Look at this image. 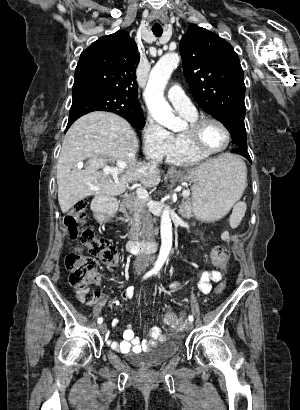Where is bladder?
Here are the masks:
<instances>
[{
	"label": "bladder",
	"mask_w": 300,
	"mask_h": 410,
	"mask_svg": "<svg viewBox=\"0 0 300 410\" xmlns=\"http://www.w3.org/2000/svg\"><path fill=\"white\" fill-rule=\"evenodd\" d=\"M179 347L175 342L166 341L164 343H156L153 348L148 349L143 354H128L127 360L139 367H153L158 366L171 357L176 355Z\"/></svg>",
	"instance_id": "1"
}]
</instances>
